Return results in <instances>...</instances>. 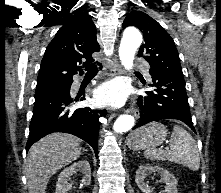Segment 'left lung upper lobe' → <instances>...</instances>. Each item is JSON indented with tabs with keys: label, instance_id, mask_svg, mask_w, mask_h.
<instances>
[{
	"label": "left lung upper lobe",
	"instance_id": "obj_1",
	"mask_svg": "<svg viewBox=\"0 0 221 193\" xmlns=\"http://www.w3.org/2000/svg\"><path fill=\"white\" fill-rule=\"evenodd\" d=\"M122 26H135L143 32L145 42L140 47L138 56L149 62L150 71L183 76L175 43L157 21L144 12L132 11Z\"/></svg>",
	"mask_w": 221,
	"mask_h": 193
}]
</instances>
